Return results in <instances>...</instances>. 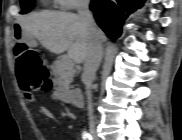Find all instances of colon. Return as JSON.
Listing matches in <instances>:
<instances>
[{
	"label": "colon",
	"mask_w": 182,
	"mask_h": 140,
	"mask_svg": "<svg viewBox=\"0 0 182 140\" xmlns=\"http://www.w3.org/2000/svg\"><path fill=\"white\" fill-rule=\"evenodd\" d=\"M14 54L20 86L25 97L32 100L36 91L45 90L48 85V69L44 56L39 50L22 43L16 45Z\"/></svg>",
	"instance_id": "5ec220e1"
}]
</instances>
